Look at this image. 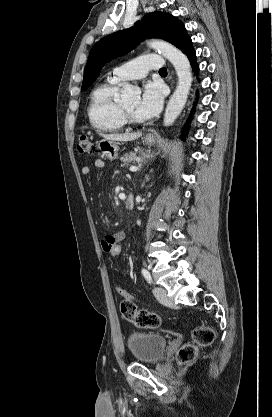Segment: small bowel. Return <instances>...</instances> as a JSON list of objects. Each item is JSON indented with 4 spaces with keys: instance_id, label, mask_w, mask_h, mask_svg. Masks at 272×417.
<instances>
[{
    "instance_id": "1",
    "label": "small bowel",
    "mask_w": 272,
    "mask_h": 417,
    "mask_svg": "<svg viewBox=\"0 0 272 417\" xmlns=\"http://www.w3.org/2000/svg\"><path fill=\"white\" fill-rule=\"evenodd\" d=\"M94 166H95L96 168H98V169H104V168L106 167V163H105V161H103V160H101V159H97V160L94 162ZM91 172H92V167H91V166H88V165L84 166V167L81 169V173H82L84 176H89V175L91 174ZM124 238H125V233H124L123 231H116V232H114V233H112V234H109V235H106V236L104 237V239H103V240H102V242H101V247H102V249L106 252L107 245H108L111 241H113V240H117V239L123 240Z\"/></svg>"
}]
</instances>
